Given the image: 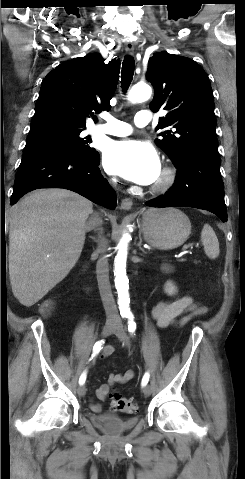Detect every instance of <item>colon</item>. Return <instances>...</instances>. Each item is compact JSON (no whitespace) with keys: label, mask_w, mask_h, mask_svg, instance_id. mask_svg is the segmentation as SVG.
Segmentation results:
<instances>
[{"label":"colon","mask_w":245,"mask_h":479,"mask_svg":"<svg viewBox=\"0 0 245 479\" xmlns=\"http://www.w3.org/2000/svg\"><path fill=\"white\" fill-rule=\"evenodd\" d=\"M52 310H53L52 302L47 301L43 304L42 311L44 314L48 315L52 312ZM110 396H111L113 407L120 412L133 413L137 408L136 404L132 400L126 397H123L120 393L116 391H112L110 393Z\"/></svg>","instance_id":"5ec220e1"}]
</instances>
